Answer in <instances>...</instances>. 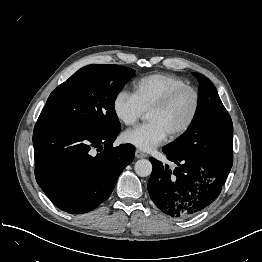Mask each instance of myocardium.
<instances>
[{
    "label": "myocardium",
    "mask_w": 262,
    "mask_h": 262,
    "mask_svg": "<svg viewBox=\"0 0 262 262\" xmlns=\"http://www.w3.org/2000/svg\"><path fill=\"white\" fill-rule=\"evenodd\" d=\"M184 93H189L192 96V100H193L192 110H191L190 116L187 119V121L180 128H178L177 130H175L174 132H172L169 135V138L171 140L180 138L181 136L185 135L192 128L193 124L195 123V120L199 113L200 104H201L200 94L198 90L188 85L178 87L170 91L169 93H167L158 102L153 104L147 111V112H150V111L163 110L167 108L172 102H174L179 96H181Z\"/></svg>",
    "instance_id": "f54148a6"
}]
</instances>
